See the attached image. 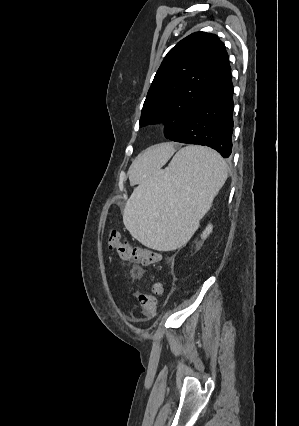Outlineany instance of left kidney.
<instances>
[{"label":"left kidney","instance_id":"1","mask_svg":"<svg viewBox=\"0 0 299 426\" xmlns=\"http://www.w3.org/2000/svg\"><path fill=\"white\" fill-rule=\"evenodd\" d=\"M212 229H213L212 224H208V226L205 228V230L201 234V238L203 240L206 239L209 236V234L212 232Z\"/></svg>","mask_w":299,"mask_h":426}]
</instances>
